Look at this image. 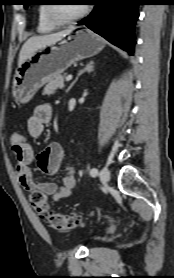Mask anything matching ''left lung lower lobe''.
Segmentation results:
<instances>
[{
	"instance_id": "0a47b994",
	"label": "left lung lower lobe",
	"mask_w": 174,
	"mask_h": 278,
	"mask_svg": "<svg viewBox=\"0 0 174 278\" xmlns=\"http://www.w3.org/2000/svg\"><path fill=\"white\" fill-rule=\"evenodd\" d=\"M93 5V11L78 24L86 25L132 55L140 0H94Z\"/></svg>"
}]
</instances>
